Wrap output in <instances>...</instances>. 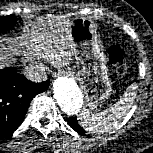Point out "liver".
<instances>
[{"label":"liver","instance_id":"6515ba94","mask_svg":"<svg viewBox=\"0 0 153 153\" xmlns=\"http://www.w3.org/2000/svg\"><path fill=\"white\" fill-rule=\"evenodd\" d=\"M42 21V19H39L40 23ZM52 27H50V32H48L46 26L40 28V31H32V39L26 42L31 44L28 49L31 50L33 57L47 56L50 59L57 60L56 64L58 66L67 65L74 55V47L70 36L71 22L68 19H61L54 24L56 29ZM10 42L14 44V41ZM20 52L22 51L18 47L0 43V68L13 62V55H19Z\"/></svg>","mask_w":153,"mask_h":153}]
</instances>
